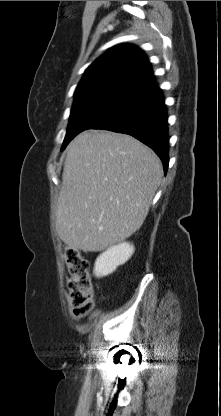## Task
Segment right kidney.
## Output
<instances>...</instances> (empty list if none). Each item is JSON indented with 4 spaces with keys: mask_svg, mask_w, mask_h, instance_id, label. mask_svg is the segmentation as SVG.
<instances>
[{
    "mask_svg": "<svg viewBox=\"0 0 221 416\" xmlns=\"http://www.w3.org/2000/svg\"><path fill=\"white\" fill-rule=\"evenodd\" d=\"M134 246L127 242H122L108 248L99 255L94 266L96 277H104L113 273L118 266L127 262L134 253Z\"/></svg>",
    "mask_w": 221,
    "mask_h": 416,
    "instance_id": "obj_1",
    "label": "right kidney"
}]
</instances>
